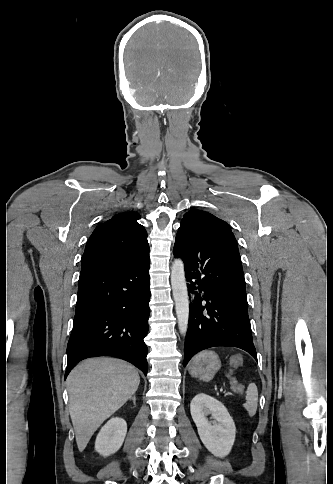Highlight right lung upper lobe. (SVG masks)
<instances>
[{"mask_svg": "<svg viewBox=\"0 0 333 484\" xmlns=\"http://www.w3.org/2000/svg\"><path fill=\"white\" fill-rule=\"evenodd\" d=\"M138 213H120L98 225L86 244L82 269L123 265L149 254L147 232L137 223Z\"/></svg>", "mask_w": 333, "mask_h": 484, "instance_id": "right-lung-upper-lobe-1", "label": "right lung upper lobe"}]
</instances>
